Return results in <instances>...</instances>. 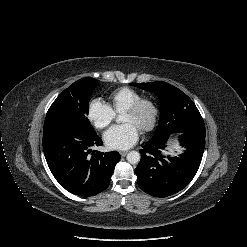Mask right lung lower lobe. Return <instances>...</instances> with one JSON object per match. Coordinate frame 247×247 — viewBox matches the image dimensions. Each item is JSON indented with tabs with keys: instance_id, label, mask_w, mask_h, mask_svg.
I'll return each mask as SVG.
<instances>
[{
	"instance_id": "right-lung-lower-lobe-1",
	"label": "right lung lower lobe",
	"mask_w": 247,
	"mask_h": 247,
	"mask_svg": "<svg viewBox=\"0 0 247 247\" xmlns=\"http://www.w3.org/2000/svg\"><path fill=\"white\" fill-rule=\"evenodd\" d=\"M102 143L95 132L76 123L44 124L43 150L49 169L63 188L78 196L104 191L121 159L117 151L92 152L93 146Z\"/></svg>"
}]
</instances>
